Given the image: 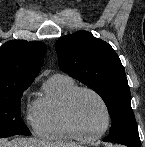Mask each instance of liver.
Instances as JSON below:
<instances>
[{"label": "liver", "mask_w": 145, "mask_h": 147, "mask_svg": "<svg viewBox=\"0 0 145 147\" xmlns=\"http://www.w3.org/2000/svg\"><path fill=\"white\" fill-rule=\"evenodd\" d=\"M0 147H82L76 143L46 142L34 138H15L9 142L0 143Z\"/></svg>", "instance_id": "1"}]
</instances>
